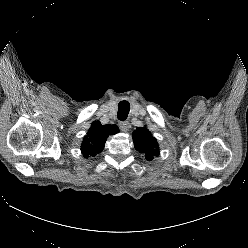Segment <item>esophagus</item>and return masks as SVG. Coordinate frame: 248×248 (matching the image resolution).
I'll return each mask as SVG.
<instances>
[{
    "mask_svg": "<svg viewBox=\"0 0 248 248\" xmlns=\"http://www.w3.org/2000/svg\"><path fill=\"white\" fill-rule=\"evenodd\" d=\"M119 128L121 129V131L123 132H127L129 129V122L128 121H122L119 123Z\"/></svg>",
    "mask_w": 248,
    "mask_h": 248,
    "instance_id": "1",
    "label": "esophagus"
}]
</instances>
